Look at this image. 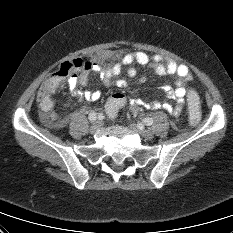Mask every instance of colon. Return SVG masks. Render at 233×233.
<instances>
[{
  "instance_id": "1",
  "label": "colon",
  "mask_w": 233,
  "mask_h": 233,
  "mask_svg": "<svg viewBox=\"0 0 233 233\" xmlns=\"http://www.w3.org/2000/svg\"><path fill=\"white\" fill-rule=\"evenodd\" d=\"M91 68L90 62H85L80 58L63 63L59 69L49 76L41 86L37 101L43 111H48L53 106V96L60 81L70 75L83 74ZM190 123L195 125L200 120L201 112L199 98L196 91L190 87L187 94ZM126 97L122 93H115L111 96L106 105V113L110 118L116 116L121 107L125 104Z\"/></svg>"
}]
</instances>
